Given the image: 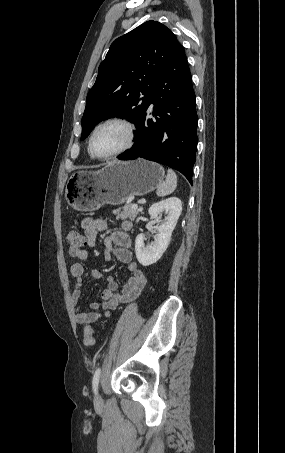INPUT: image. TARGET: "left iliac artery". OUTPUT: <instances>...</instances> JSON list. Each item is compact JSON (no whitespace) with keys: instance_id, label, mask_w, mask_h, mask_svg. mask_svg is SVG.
<instances>
[{"instance_id":"obj_1","label":"left iliac artery","mask_w":285,"mask_h":453,"mask_svg":"<svg viewBox=\"0 0 285 453\" xmlns=\"http://www.w3.org/2000/svg\"><path fill=\"white\" fill-rule=\"evenodd\" d=\"M100 374H101V368L99 367L96 369L94 376H93V380H92V387H93L94 393H97V390H98Z\"/></svg>"}]
</instances>
